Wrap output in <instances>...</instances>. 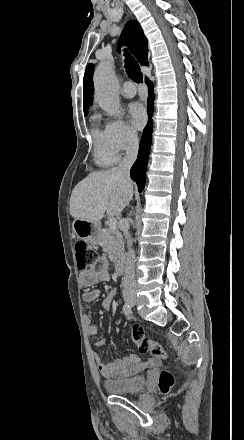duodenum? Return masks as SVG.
<instances>
[{
  "mask_svg": "<svg viewBox=\"0 0 244 440\" xmlns=\"http://www.w3.org/2000/svg\"><path fill=\"white\" fill-rule=\"evenodd\" d=\"M114 266L118 274H122L124 272V261L121 257L115 259Z\"/></svg>",
  "mask_w": 244,
  "mask_h": 440,
  "instance_id": "410a0bca",
  "label": "duodenum"
}]
</instances>
